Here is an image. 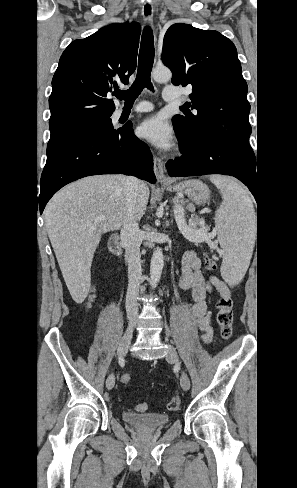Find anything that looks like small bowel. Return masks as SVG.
Instances as JSON below:
<instances>
[{"label": "small bowel", "instance_id": "small-bowel-1", "mask_svg": "<svg viewBox=\"0 0 297 488\" xmlns=\"http://www.w3.org/2000/svg\"><path fill=\"white\" fill-rule=\"evenodd\" d=\"M201 260L190 250L184 253L181 262L179 286L190 289L194 303L189 311L195 323L203 331L202 339L208 343L213 336L212 313L208 308V297L214 292L220 297H231L228 285L216 276L205 278L201 272Z\"/></svg>", "mask_w": 297, "mask_h": 488}]
</instances>
